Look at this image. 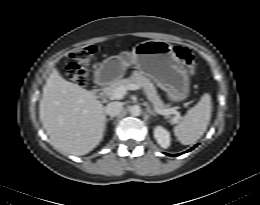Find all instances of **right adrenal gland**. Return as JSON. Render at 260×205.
Segmentation results:
<instances>
[{"label":"right adrenal gland","mask_w":260,"mask_h":205,"mask_svg":"<svg viewBox=\"0 0 260 205\" xmlns=\"http://www.w3.org/2000/svg\"><path fill=\"white\" fill-rule=\"evenodd\" d=\"M113 119H114V117H110V118L105 119V126H106V124H107V122H108L109 120H113Z\"/></svg>","instance_id":"obj_1"}]
</instances>
